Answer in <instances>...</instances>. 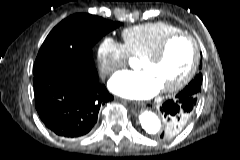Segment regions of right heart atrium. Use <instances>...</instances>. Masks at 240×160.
I'll use <instances>...</instances> for the list:
<instances>
[{"instance_id": "right-heart-atrium-1", "label": "right heart atrium", "mask_w": 240, "mask_h": 160, "mask_svg": "<svg viewBox=\"0 0 240 160\" xmlns=\"http://www.w3.org/2000/svg\"><path fill=\"white\" fill-rule=\"evenodd\" d=\"M129 53L124 44L113 38H105L97 50V59L100 71L109 76L125 66Z\"/></svg>"}]
</instances>
